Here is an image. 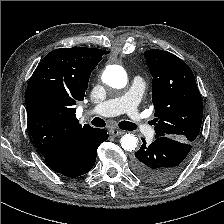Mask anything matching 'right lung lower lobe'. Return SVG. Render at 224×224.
<instances>
[{"label":"right lung lower lobe","mask_w":224,"mask_h":224,"mask_svg":"<svg viewBox=\"0 0 224 224\" xmlns=\"http://www.w3.org/2000/svg\"><path fill=\"white\" fill-rule=\"evenodd\" d=\"M104 129H94L77 143H73L55 164L47 163L55 172L67 177H78L89 172L95 164L99 145L107 140Z\"/></svg>","instance_id":"obj_1"}]
</instances>
